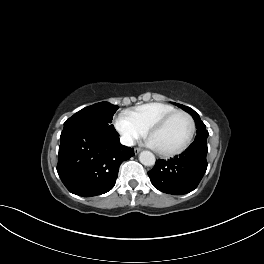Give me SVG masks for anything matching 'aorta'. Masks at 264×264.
<instances>
[{
    "label": "aorta",
    "mask_w": 264,
    "mask_h": 264,
    "mask_svg": "<svg viewBox=\"0 0 264 264\" xmlns=\"http://www.w3.org/2000/svg\"><path fill=\"white\" fill-rule=\"evenodd\" d=\"M139 161L144 165V166H154L156 159L155 156L152 152L150 151H142L139 154Z\"/></svg>",
    "instance_id": "1"
}]
</instances>
